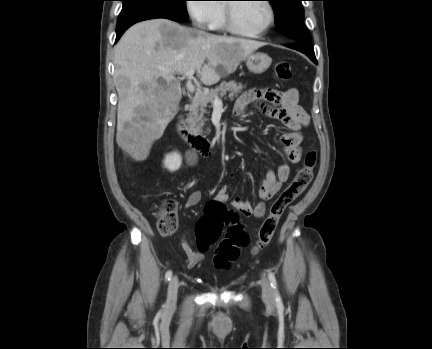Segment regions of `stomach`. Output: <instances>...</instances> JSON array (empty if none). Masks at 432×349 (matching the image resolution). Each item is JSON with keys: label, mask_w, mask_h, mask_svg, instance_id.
I'll list each match as a JSON object with an SVG mask.
<instances>
[{"label": "stomach", "mask_w": 432, "mask_h": 349, "mask_svg": "<svg viewBox=\"0 0 432 349\" xmlns=\"http://www.w3.org/2000/svg\"><path fill=\"white\" fill-rule=\"evenodd\" d=\"M271 57L262 52H255L246 58V65L250 72L261 74L265 72L271 65Z\"/></svg>", "instance_id": "0dacf381"}]
</instances>
